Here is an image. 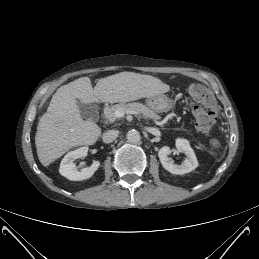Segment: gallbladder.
I'll return each instance as SVG.
<instances>
[{
	"label": "gallbladder",
	"mask_w": 259,
	"mask_h": 259,
	"mask_svg": "<svg viewBox=\"0 0 259 259\" xmlns=\"http://www.w3.org/2000/svg\"><path fill=\"white\" fill-rule=\"evenodd\" d=\"M77 105L80 109L82 116L87 120H95L97 118V106L93 103L84 104L80 101H77Z\"/></svg>",
	"instance_id": "obj_1"
}]
</instances>
